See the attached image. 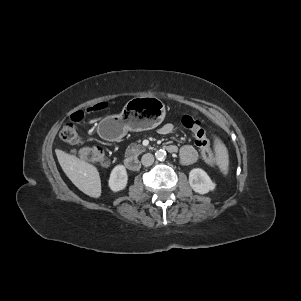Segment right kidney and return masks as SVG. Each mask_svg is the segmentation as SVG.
<instances>
[{
  "mask_svg": "<svg viewBox=\"0 0 301 301\" xmlns=\"http://www.w3.org/2000/svg\"><path fill=\"white\" fill-rule=\"evenodd\" d=\"M128 175L123 165H117L110 174L108 185L113 192H118L127 186Z\"/></svg>",
  "mask_w": 301,
  "mask_h": 301,
  "instance_id": "obj_1",
  "label": "right kidney"
}]
</instances>
